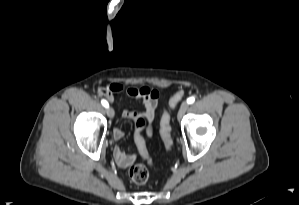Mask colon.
Listing matches in <instances>:
<instances>
[{
    "label": "colon",
    "instance_id": "colon-1",
    "mask_svg": "<svg viewBox=\"0 0 299 205\" xmlns=\"http://www.w3.org/2000/svg\"><path fill=\"white\" fill-rule=\"evenodd\" d=\"M99 93L104 96H110L111 89L110 87L107 88H100ZM184 96V92L182 90L176 92L168 102V109L163 113L161 122H160V134L162 141L166 150H170L172 146V138H171V111L177 106V104L181 101ZM147 126V122L145 118L139 116L135 119V143L138 148L139 153L143 158L148 160L151 163V159L149 158L145 139L143 137V131ZM129 178L135 184L141 185L147 182L149 177V172L147 168L142 164L133 165L128 172Z\"/></svg>",
    "mask_w": 299,
    "mask_h": 205
}]
</instances>
